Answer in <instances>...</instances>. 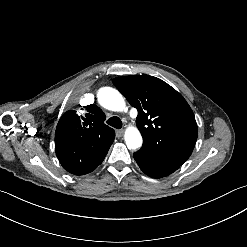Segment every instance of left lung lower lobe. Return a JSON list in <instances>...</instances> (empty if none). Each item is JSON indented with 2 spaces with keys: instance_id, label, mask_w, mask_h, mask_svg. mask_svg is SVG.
<instances>
[{
  "instance_id": "obj_1",
  "label": "left lung lower lobe",
  "mask_w": 247,
  "mask_h": 247,
  "mask_svg": "<svg viewBox=\"0 0 247 247\" xmlns=\"http://www.w3.org/2000/svg\"><path fill=\"white\" fill-rule=\"evenodd\" d=\"M140 169L152 178H162L176 171L182 164L142 147L133 154Z\"/></svg>"
}]
</instances>
